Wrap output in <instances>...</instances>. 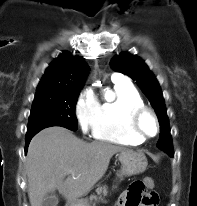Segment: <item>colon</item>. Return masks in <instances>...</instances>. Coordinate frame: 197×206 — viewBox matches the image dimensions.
Returning a JSON list of instances; mask_svg holds the SVG:
<instances>
[{"mask_svg":"<svg viewBox=\"0 0 197 206\" xmlns=\"http://www.w3.org/2000/svg\"><path fill=\"white\" fill-rule=\"evenodd\" d=\"M153 186L154 181L150 178L133 182L128 189L129 206H148L150 203H157V195L153 192L147 193V189Z\"/></svg>","mask_w":197,"mask_h":206,"instance_id":"5ec220e1","label":"colon"}]
</instances>
